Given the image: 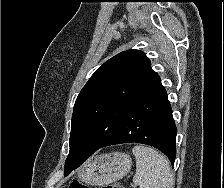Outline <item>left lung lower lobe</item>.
Instances as JSON below:
<instances>
[{"label": "left lung lower lobe", "mask_w": 224, "mask_h": 188, "mask_svg": "<svg viewBox=\"0 0 224 188\" xmlns=\"http://www.w3.org/2000/svg\"><path fill=\"white\" fill-rule=\"evenodd\" d=\"M176 133L166 90L159 81L132 103L100 148L123 143L148 144L162 151L173 165ZM81 164L66 169L65 175Z\"/></svg>", "instance_id": "0a47b994"}]
</instances>
